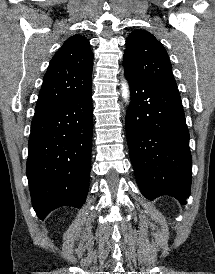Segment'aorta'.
Segmentation results:
<instances>
[{
    "label": "aorta",
    "mask_w": 215,
    "mask_h": 274,
    "mask_svg": "<svg viewBox=\"0 0 215 274\" xmlns=\"http://www.w3.org/2000/svg\"><path fill=\"white\" fill-rule=\"evenodd\" d=\"M121 90H122V96H123V98L125 99L126 102H128V100H129V89H128V85H127L126 82H124L122 84Z\"/></svg>",
    "instance_id": "1"
}]
</instances>
